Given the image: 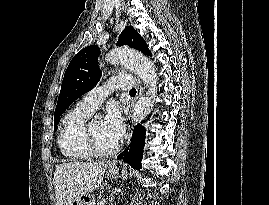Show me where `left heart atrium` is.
<instances>
[{"mask_svg": "<svg viewBox=\"0 0 269 205\" xmlns=\"http://www.w3.org/2000/svg\"><path fill=\"white\" fill-rule=\"evenodd\" d=\"M104 134L114 143H117L124 133V122L121 108L116 103L108 105L106 115L102 121Z\"/></svg>", "mask_w": 269, "mask_h": 205, "instance_id": "1", "label": "left heart atrium"}]
</instances>
